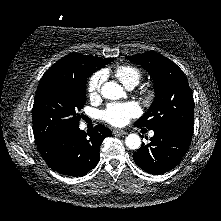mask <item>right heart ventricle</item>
Returning <instances> with one entry per match:
<instances>
[{
  "label": "right heart ventricle",
  "mask_w": 221,
  "mask_h": 221,
  "mask_svg": "<svg viewBox=\"0 0 221 221\" xmlns=\"http://www.w3.org/2000/svg\"><path fill=\"white\" fill-rule=\"evenodd\" d=\"M114 75L127 88L136 86L142 78L140 69L128 64L117 66L114 70Z\"/></svg>",
  "instance_id": "e07e8e85"
}]
</instances>
